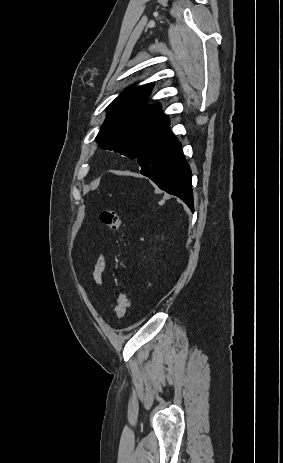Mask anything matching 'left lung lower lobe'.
Segmentation results:
<instances>
[{
	"mask_svg": "<svg viewBox=\"0 0 283 463\" xmlns=\"http://www.w3.org/2000/svg\"><path fill=\"white\" fill-rule=\"evenodd\" d=\"M136 161L141 174L149 177L160 189L179 197L193 211L191 170L169 125L150 141Z\"/></svg>",
	"mask_w": 283,
	"mask_h": 463,
	"instance_id": "obj_1",
	"label": "left lung lower lobe"
}]
</instances>
